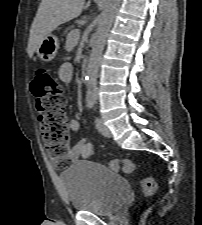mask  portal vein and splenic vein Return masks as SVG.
I'll return each instance as SVG.
<instances>
[{
  "label": "portal vein and splenic vein",
  "instance_id": "obj_1",
  "mask_svg": "<svg viewBox=\"0 0 202 225\" xmlns=\"http://www.w3.org/2000/svg\"><path fill=\"white\" fill-rule=\"evenodd\" d=\"M80 39V29L72 30L66 38V43H71L73 46L77 45Z\"/></svg>",
  "mask_w": 202,
  "mask_h": 225
}]
</instances>
